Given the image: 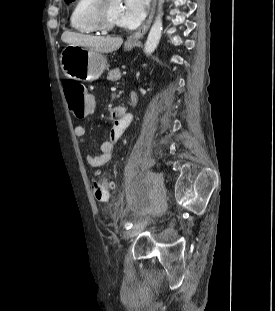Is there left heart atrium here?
Instances as JSON below:
<instances>
[{
  "mask_svg": "<svg viewBox=\"0 0 275 311\" xmlns=\"http://www.w3.org/2000/svg\"><path fill=\"white\" fill-rule=\"evenodd\" d=\"M149 0H124L119 14V25L126 28L138 26L145 18Z\"/></svg>",
  "mask_w": 275,
  "mask_h": 311,
  "instance_id": "obj_1",
  "label": "left heart atrium"
}]
</instances>
